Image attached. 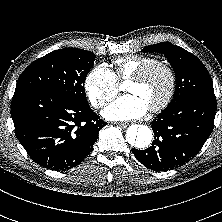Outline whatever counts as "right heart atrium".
I'll return each mask as SVG.
<instances>
[{
  "label": "right heart atrium",
  "instance_id": "right-heart-atrium-1",
  "mask_svg": "<svg viewBox=\"0 0 222 222\" xmlns=\"http://www.w3.org/2000/svg\"><path fill=\"white\" fill-rule=\"evenodd\" d=\"M84 88L91 105L101 109L116 96L119 84L111 69L105 64H99L86 76Z\"/></svg>",
  "mask_w": 222,
  "mask_h": 222
}]
</instances>
